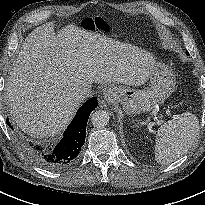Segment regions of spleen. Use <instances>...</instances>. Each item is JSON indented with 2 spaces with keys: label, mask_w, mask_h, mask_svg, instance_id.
I'll list each match as a JSON object with an SVG mask.
<instances>
[{
  "label": "spleen",
  "mask_w": 205,
  "mask_h": 205,
  "mask_svg": "<svg viewBox=\"0 0 205 205\" xmlns=\"http://www.w3.org/2000/svg\"><path fill=\"white\" fill-rule=\"evenodd\" d=\"M198 132V118L190 112L161 125L156 137V161L165 165L184 155L195 142Z\"/></svg>",
  "instance_id": "3e777b00"
}]
</instances>
